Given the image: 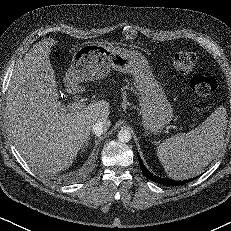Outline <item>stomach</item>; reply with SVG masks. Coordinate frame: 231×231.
<instances>
[{
    "instance_id": "obj_1",
    "label": "stomach",
    "mask_w": 231,
    "mask_h": 231,
    "mask_svg": "<svg viewBox=\"0 0 231 231\" xmlns=\"http://www.w3.org/2000/svg\"><path fill=\"white\" fill-rule=\"evenodd\" d=\"M111 69L133 77L144 128L154 134L161 132L172 120L173 109L161 83L155 79L147 59L140 52L95 44L81 47L72 58L66 81L100 80Z\"/></svg>"
}]
</instances>
